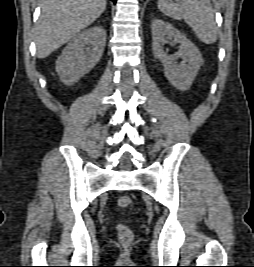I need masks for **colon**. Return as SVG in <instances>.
Masks as SVG:
<instances>
[{"mask_svg":"<svg viewBox=\"0 0 254 267\" xmlns=\"http://www.w3.org/2000/svg\"><path fill=\"white\" fill-rule=\"evenodd\" d=\"M117 204L120 208L126 209L131 206L132 199L129 196H121L117 200ZM118 239L122 244H130L134 239L133 231L124 224L117 226Z\"/></svg>","mask_w":254,"mask_h":267,"instance_id":"5ec220e1","label":"colon"}]
</instances>
